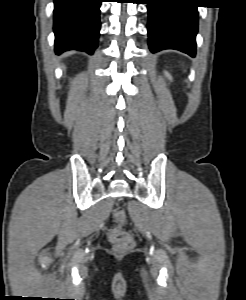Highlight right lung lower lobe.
<instances>
[{
    "instance_id": "right-lung-lower-lobe-1",
    "label": "right lung lower lobe",
    "mask_w": 246,
    "mask_h": 300,
    "mask_svg": "<svg viewBox=\"0 0 246 300\" xmlns=\"http://www.w3.org/2000/svg\"><path fill=\"white\" fill-rule=\"evenodd\" d=\"M102 0H54L55 51L80 50L93 54L100 31Z\"/></svg>"
}]
</instances>
